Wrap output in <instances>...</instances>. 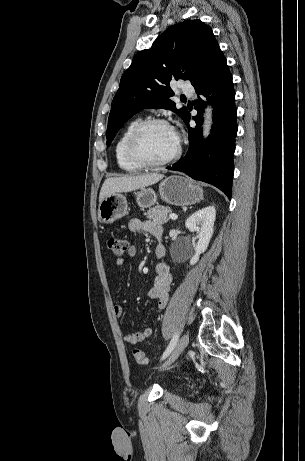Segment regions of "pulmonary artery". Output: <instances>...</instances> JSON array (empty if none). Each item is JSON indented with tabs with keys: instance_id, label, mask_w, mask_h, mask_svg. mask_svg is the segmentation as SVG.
I'll return each instance as SVG.
<instances>
[{
	"instance_id": "1",
	"label": "pulmonary artery",
	"mask_w": 305,
	"mask_h": 461,
	"mask_svg": "<svg viewBox=\"0 0 305 461\" xmlns=\"http://www.w3.org/2000/svg\"><path fill=\"white\" fill-rule=\"evenodd\" d=\"M182 91L187 94V95H193L194 94V89L192 86L184 84L182 85Z\"/></svg>"
}]
</instances>
